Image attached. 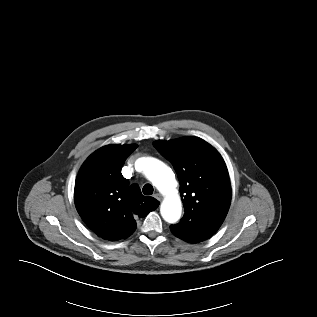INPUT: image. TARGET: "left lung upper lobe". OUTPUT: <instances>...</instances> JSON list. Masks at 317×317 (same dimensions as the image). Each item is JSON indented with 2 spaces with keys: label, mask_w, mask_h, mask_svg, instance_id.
<instances>
[{
  "label": "left lung upper lobe",
  "mask_w": 317,
  "mask_h": 317,
  "mask_svg": "<svg viewBox=\"0 0 317 317\" xmlns=\"http://www.w3.org/2000/svg\"><path fill=\"white\" fill-rule=\"evenodd\" d=\"M154 147L173 165L180 183L184 216L176 226L193 221L222 223L231 202V185L225 162L218 151L196 137L154 142Z\"/></svg>",
  "instance_id": "5c2ea615"
}]
</instances>
